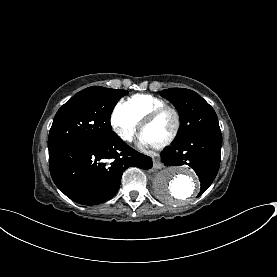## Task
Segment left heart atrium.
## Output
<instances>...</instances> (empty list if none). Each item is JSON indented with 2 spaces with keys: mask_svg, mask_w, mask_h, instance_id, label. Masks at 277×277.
Returning <instances> with one entry per match:
<instances>
[{
  "mask_svg": "<svg viewBox=\"0 0 277 277\" xmlns=\"http://www.w3.org/2000/svg\"><path fill=\"white\" fill-rule=\"evenodd\" d=\"M158 144L152 141L144 132H142L138 139V146L140 148H153Z\"/></svg>",
  "mask_w": 277,
  "mask_h": 277,
  "instance_id": "1",
  "label": "left heart atrium"
}]
</instances>
